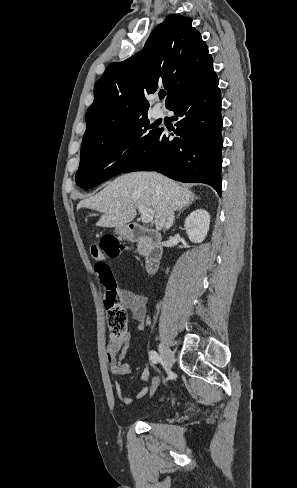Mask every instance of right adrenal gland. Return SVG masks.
<instances>
[{
  "instance_id": "right-adrenal-gland-1",
  "label": "right adrenal gland",
  "mask_w": 297,
  "mask_h": 488,
  "mask_svg": "<svg viewBox=\"0 0 297 488\" xmlns=\"http://www.w3.org/2000/svg\"><path fill=\"white\" fill-rule=\"evenodd\" d=\"M198 198H199L198 196H195L194 199H192L188 204L184 205L183 208L179 211L178 217L186 208H188L192 204L194 200H197Z\"/></svg>"
}]
</instances>
